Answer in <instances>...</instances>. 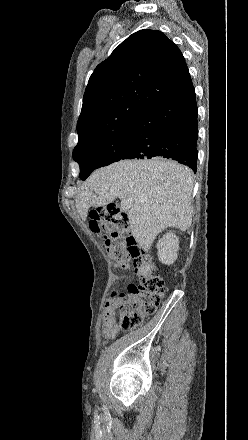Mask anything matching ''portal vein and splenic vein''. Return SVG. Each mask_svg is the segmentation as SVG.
I'll use <instances>...</instances> for the list:
<instances>
[{"instance_id": "18ae733b", "label": "portal vein and splenic vein", "mask_w": 248, "mask_h": 440, "mask_svg": "<svg viewBox=\"0 0 248 440\" xmlns=\"http://www.w3.org/2000/svg\"><path fill=\"white\" fill-rule=\"evenodd\" d=\"M132 203H133V200H130V199L122 200L121 201V208L125 209V210H128V209L131 208Z\"/></svg>"}]
</instances>
